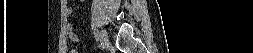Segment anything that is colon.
I'll return each instance as SVG.
<instances>
[{"mask_svg":"<svg viewBox=\"0 0 253 53\" xmlns=\"http://www.w3.org/2000/svg\"><path fill=\"white\" fill-rule=\"evenodd\" d=\"M70 52H71V53H76V50H75V49H71Z\"/></svg>","mask_w":253,"mask_h":53,"instance_id":"obj_1","label":"colon"}]
</instances>
